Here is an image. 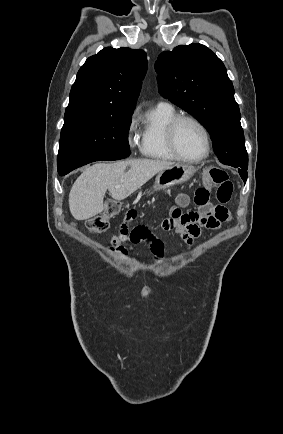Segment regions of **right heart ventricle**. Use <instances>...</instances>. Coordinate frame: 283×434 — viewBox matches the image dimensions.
<instances>
[{"label": "right heart ventricle", "mask_w": 283, "mask_h": 434, "mask_svg": "<svg viewBox=\"0 0 283 434\" xmlns=\"http://www.w3.org/2000/svg\"><path fill=\"white\" fill-rule=\"evenodd\" d=\"M178 114L172 106H156L144 121L140 152L144 157L159 161H175L166 141V128Z\"/></svg>", "instance_id": "right-heart-ventricle-1"}]
</instances>
